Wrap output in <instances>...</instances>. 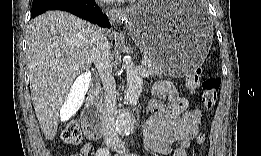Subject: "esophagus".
I'll use <instances>...</instances> for the list:
<instances>
[{"label": "esophagus", "instance_id": "esophagus-1", "mask_svg": "<svg viewBox=\"0 0 261 156\" xmlns=\"http://www.w3.org/2000/svg\"><path fill=\"white\" fill-rule=\"evenodd\" d=\"M109 15L113 21L123 20L124 10L123 9H113L109 11Z\"/></svg>", "mask_w": 261, "mask_h": 156}]
</instances>
